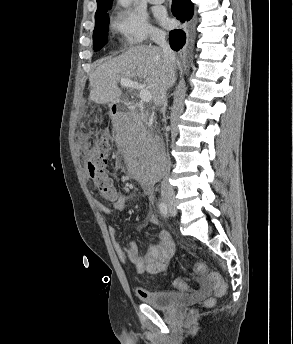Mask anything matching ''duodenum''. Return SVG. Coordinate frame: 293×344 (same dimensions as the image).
<instances>
[{"label":"duodenum","mask_w":293,"mask_h":344,"mask_svg":"<svg viewBox=\"0 0 293 344\" xmlns=\"http://www.w3.org/2000/svg\"><path fill=\"white\" fill-rule=\"evenodd\" d=\"M122 110V109H120ZM119 113L118 112H113V117H116Z\"/></svg>","instance_id":"1"}]
</instances>
